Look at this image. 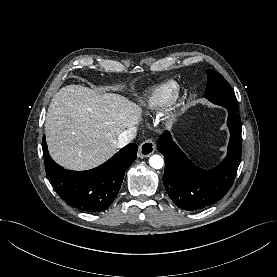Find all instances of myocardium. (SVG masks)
<instances>
[{
	"label": "myocardium",
	"instance_id": "myocardium-1",
	"mask_svg": "<svg viewBox=\"0 0 277 277\" xmlns=\"http://www.w3.org/2000/svg\"><path fill=\"white\" fill-rule=\"evenodd\" d=\"M176 102V96L173 95L168 107L165 110L164 117L166 120L171 121L174 118V105Z\"/></svg>",
	"mask_w": 277,
	"mask_h": 277
}]
</instances>
